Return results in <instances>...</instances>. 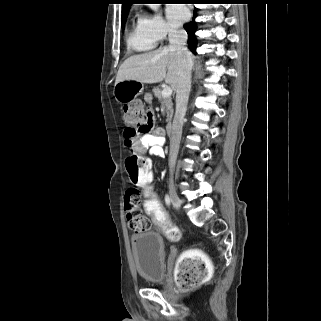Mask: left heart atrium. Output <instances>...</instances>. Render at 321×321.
I'll return each instance as SVG.
<instances>
[{
    "label": "left heart atrium",
    "instance_id": "39dd6f15",
    "mask_svg": "<svg viewBox=\"0 0 321 321\" xmlns=\"http://www.w3.org/2000/svg\"><path fill=\"white\" fill-rule=\"evenodd\" d=\"M166 15L174 27L181 25L188 17V10L181 4H170L166 8Z\"/></svg>",
    "mask_w": 321,
    "mask_h": 321
}]
</instances>
